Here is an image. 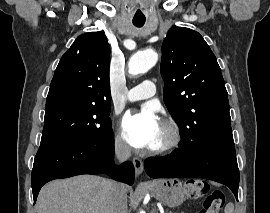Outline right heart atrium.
<instances>
[{"label": "right heart atrium", "mask_w": 270, "mask_h": 213, "mask_svg": "<svg viewBox=\"0 0 270 213\" xmlns=\"http://www.w3.org/2000/svg\"><path fill=\"white\" fill-rule=\"evenodd\" d=\"M113 148L115 152L121 156H125L129 152L128 146L124 143L118 133H115L113 136Z\"/></svg>", "instance_id": "d8ad5b80"}]
</instances>
